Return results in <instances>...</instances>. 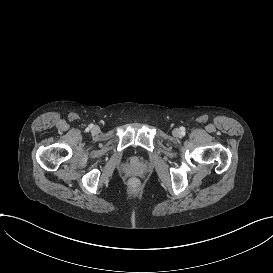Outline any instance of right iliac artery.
Segmentation results:
<instances>
[{
	"label": "right iliac artery",
	"mask_w": 273,
	"mask_h": 273,
	"mask_svg": "<svg viewBox=\"0 0 273 273\" xmlns=\"http://www.w3.org/2000/svg\"><path fill=\"white\" fill-rule=\"evenodd\" d=\"M93 127V125H89V127L87 128V130H90Z\"/></svg>",
	"instance_id": "right-iliac-artery-1"
}]
</instances>
